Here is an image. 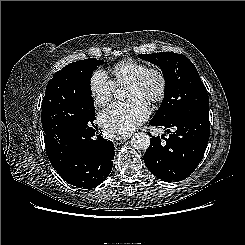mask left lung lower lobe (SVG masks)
Listing matches in <instances>:
<instances>
[{
	"instance_id": "1",
	"label": "left lung lower lobe",
	"mask_w": 245,
	"mask_h": 245,
	"mask_svg": "<svg viewBox=\"0 0 245 245\" xmlns=\"http://www.w3.org/2000/svg\"><path fill=\"white\" fill-rule=\"evenodd\" d=\"M151 126L175 127L164 137H151V144L144 154L146 167L165 182L186 179L199 165L209 140L210 122L208 107L193 108L176 120L161 123L151 121Z\"/></svg>"
}]
</instances>
